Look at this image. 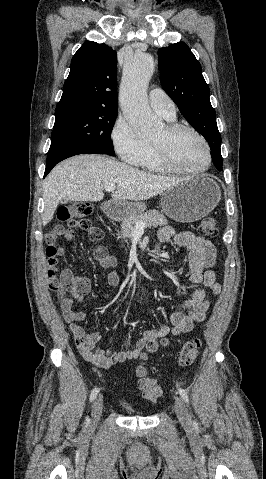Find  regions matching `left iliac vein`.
Wrapping results in <instances>:
<instances>
[{
  "instance_id": "obj_1",
  "label": "left iliac vein",
  "mask_w": 266,
  "mask_h": 479,
  "mask_svg": "<svg viewBox=\"0 0 266 479\" xmlns=\"http://www.w3.org/2000/svg\"><path fill=\"white\" fill-rule=\"evenodd\" d=\"M174 409L180 424L184 427H189L191 425V419L181 397L175 398Z\"/></svg>"
}]
</instances>
